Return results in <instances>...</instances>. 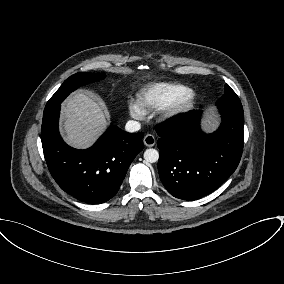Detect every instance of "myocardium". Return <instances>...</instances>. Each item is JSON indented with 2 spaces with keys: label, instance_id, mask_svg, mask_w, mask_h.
Wrapping results in <instances>:
<instances>
[{
  "label": "myocardium",
  "instance_id": "f54148a6",
  "mask_svg": "<svg viewBox=\"0 0 284 284\" xmlns=\"http://www.w3.org/2000/svg\"><path fill=\"white\" fill-rule=\"evenodd\" d=\"M197 101L196 92L190 90L181 98L167 106L163 111V118L171 119L189 112Z\"/></svg>",
  "mask_w": 284,
  "mask_h": 284
}]
</instances>
